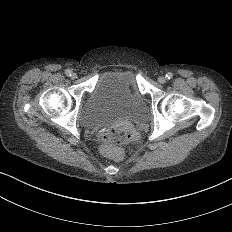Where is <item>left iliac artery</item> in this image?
Returning a JSON list of instances; mask_svg holds the SVG:
<instances>
[{"mask_svg":"<svg viewBox=\"0 0 232 232\" xmlns=\"http://www.w3.org/2000/svg\"><path fill=\"white\" fill-rule=\"evenodd\" d=\"M165 77H166V79H167V80L172 79V77H173L172 72H168V73H166Z\"/></svg>","mask_w":232,"mask_h":232,"instance_id":"44dca946","label":"left iliac artery"}]
</instances>
